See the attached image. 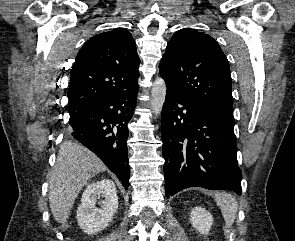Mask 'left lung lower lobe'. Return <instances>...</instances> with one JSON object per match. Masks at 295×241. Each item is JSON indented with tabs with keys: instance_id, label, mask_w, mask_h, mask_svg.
<instances>
[{
	"instance_id": "0a47b994",
	"label": "left lung lower lobe",
	"mask_w": 295,
	"mask_h": 241,
	"mask_svg": "<svg viewBox=\"0 0 295 241\" xmlns=\"http://www.w3.org/2000/svg\"><path fill=\"white\" fill-rule=\"evenodd\" d=\"M234 125L167 88L162 109V154L169 198L188 187L241 195Z\"/></svg>"
}]
</instances>
